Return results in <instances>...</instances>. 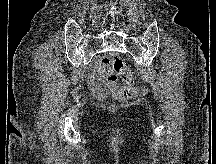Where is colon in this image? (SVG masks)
<instances>
[{
  "mask_svg": "<svg viewBox=\"0 0 216 164\" xmlns=\"http://www.w3.org/2000/svg\"><path fill=\"white\" fill-rule=\"evenodd\" d=\"M98 68L117 99L129 101L135 97L137 89L133 86V74L120 56H104L99 61Z\"/></svg>",
  "mask_w": 216,
  "mask_h": 164,
  "instance_id": "5ec220e1",
  "label": "colon"
}]
</instances>
